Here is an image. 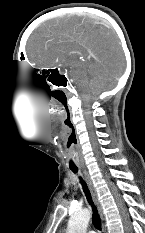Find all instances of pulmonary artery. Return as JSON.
<instances>
[{"instance_id":"pulmonary-artery-1","label":"pulmonary artery","mask_w":145,"mask_h":233,"mask_svg":"<svg viewBox=\"0 0 145 233\" xmlns=\"http://www.w3.org/2000/svg\"><path fill=\"white\" fill-rule=\"evenodd\" d=\"M89 233H95V231H89Z\"/></svg>"}]
</instances>
